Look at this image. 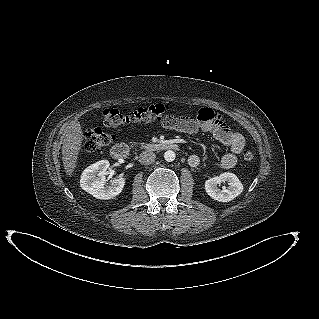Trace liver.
I'll use <instances>...</instances> for the list:
<instances>
[{"label": "liver", "mask_w": 319, "mask_h": 319, "mask_svg": "<svg viewBox=\"0 0 319 319\" xmlns=\"http://www.w3.org/2000/svg\"><path fill=\"white\" fill-rule=\"evenodd\" d=\"M83 141V131L78 121H72L62 136V161L67 175H72Z\"/></svg>", "instance_id": "obj_1"}]
</instances>
